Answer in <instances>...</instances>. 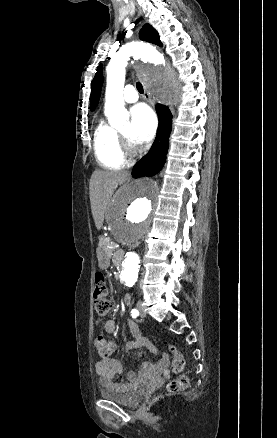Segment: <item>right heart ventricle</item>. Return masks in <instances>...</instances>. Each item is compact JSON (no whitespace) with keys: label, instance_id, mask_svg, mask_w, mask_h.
Wrapping results in <instances>:
<instances>
[{"label":"right heart ventricle","instance_id":"1","mask_svg":"<svg viewBox=\"0 0 277 438\" xmlns=\"http://www.w3.org/2000/svg\"><path fill=\"white\" fill-rule=\"evenodd\" d=\"M94 150L99 164L104 168L113 171H120L124 168L125 156L118 131L104 120L96 128Z\"/></svg>","mask_w":277,"mask_h":438}]
</instances>
